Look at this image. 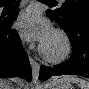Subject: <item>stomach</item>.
Returning a JSON list of instances; mask_svg holds the SVG:
<instances>
[{"label":"stomach","instance_id":"stomach-1","mask_svg":"<svg viewBox=\"0 0 89 89\" xmlns=\"http://www.w3.org/2000/svg\"><path fill=\"white\" fill-rule=\"evenodd\" d=\"M44 89H74L73 86L62 79H52L45 86Z\"/></svg>","mask_w":89,"mask_h":89}]
</instances>
